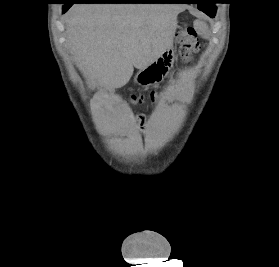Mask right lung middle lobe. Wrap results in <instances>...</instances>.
Masks as SVG:
<instances>
[{
    "mask_svg": "<svg viewBox=\"0 0 279 267\" xmlns=\"http://www.w3.org/2000/svg\"><path fill=\"white\" fill-rule=\"evenodd\" d=\"M67 1H69V0H65L64 2L66 3ZM122 1L133 2V1H135V0H122Z\"/></svg>",
    "mask_w": 279,
    "mask_h": 267,
    "instance_id": "1",
    "label": "right lung middle lobe"
}]
</instances>
